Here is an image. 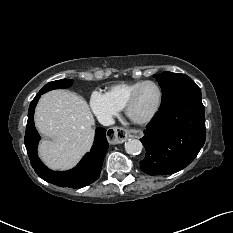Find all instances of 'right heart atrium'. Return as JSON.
<instances>
[{"mask_svg":"<svg viewBox=\"0 0 233 233\" xmlns=\"http://www.w3.org/2000/svg\"><path fill=\"white\" fill-rule=\"evenodd\" d=\"M90 108L97 119L104 124L111 122L120 109L108 98L106 93L93 91L89 99Z\"/></svg>","mask_w":233,"mask_h":233,"instance_id":"1","label":"right heart atrium"}]
</instances>
